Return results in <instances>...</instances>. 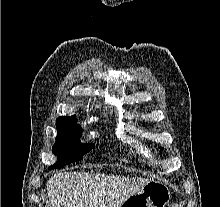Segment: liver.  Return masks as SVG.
<instances>
[{
  "mask_svg": "<svg viewBox=\"0 0 220 207\" xmlns=\"http://www.w3.org/2000/svg\"><path fill=\"white\" fill-rule=\"evenodd\" d=\"M146 180L89 172L57 173L47 182L51 207H121Z\"/></svg>",
  "mask_w": 220,
  "mask_h": 207,
  "instance_id": "6515ba94",
  "label": "liver"
}]
</instances>
